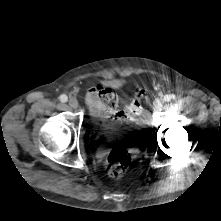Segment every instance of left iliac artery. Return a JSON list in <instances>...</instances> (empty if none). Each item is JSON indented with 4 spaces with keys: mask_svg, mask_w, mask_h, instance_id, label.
<instances>
[{
    "mask_svg": "<svg viewBox=\"0 0 221 221\" xmlns=\"http://www.w3.org/2000/svg\"><path fill=\"white\" fill-rule=\"evenodd\" d=\"M174 99H176V95H174V94H169V95L164 96V100L166 102H169V101L174 100Z\"/></svg>",
    "mask_w": 221,
    "mask_h": 221,
    "instance_id": "44dca946",
    "label": "left iliac artery"
}]
</instances>
